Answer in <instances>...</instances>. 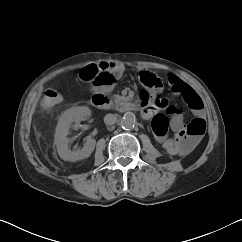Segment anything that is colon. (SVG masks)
<instances>
[{"label": "colon", "instance_id": "obj_1", "mask_svg": "<svg viewBox=\"0 0 242 242\" xmlns=\"http://www.w3.org/2000/svg\"><path fill=\"white\" fill-rule=\"evenodd\" d=\"M80 80L84 82H90L94 86H107L116 80V74L102 66L90 64L85 66L79 74ZM141 83L143 84L146 94L145 99H148V94H153L157 99L161 98L159 90L161 88V82L153 73L143 74L141 76ZM174 92L180 94L190 108H197L201 104L200 97L194 92L190 86L180 87L177 85L173 89ZM63 100V97L59 91L53 88H49L44 93L42 104L46 109H52L58 106ZM193 128L189 129V132L193 135H203L205 127L199 121L193 123ZM152 128L156 135L163 136L168 131V124L163 115H157L152 121Z\"/></svg>", "mask_w": 242, "mask_h": 242}]
</instances>
